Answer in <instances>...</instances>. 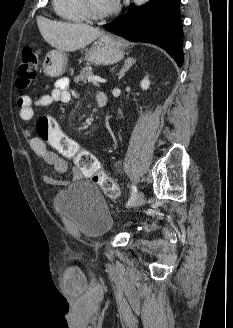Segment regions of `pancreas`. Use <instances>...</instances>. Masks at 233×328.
Returning <instances> with one entry per match:
<instances>
[{
  "label": "pancreas",
  "instance_id": "pancreas-1",
  "mask_svg": "<svg viewBox=\"0 0 233 328\" xmlns=\"http://www.w3.org/2000/svg\"><path fill=\"white\" fill-rule=\"evenodd\" d=\"M93 76H94V74H93L92 68L89 67V66L88 67H84L80 71L79 75L74 78V81L76 83H79V82L86 83L87 80H88V78L93 77Z\"/></svg>",
  "mask_w": 233,
  "mask_h": 328
}]
</instances>
